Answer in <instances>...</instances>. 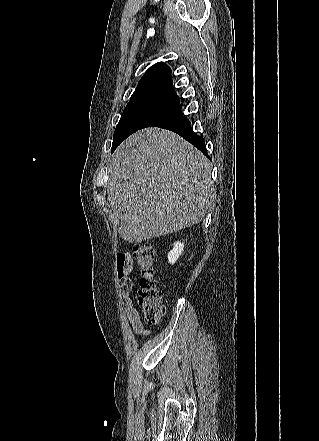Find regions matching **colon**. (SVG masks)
Masks as SVG:
<instances>
[{
    "mask_svg": "<svg viewBox=\"0 0 319 441\" xmlns=\"http://www.w3.org/2000/svg\"><path fill=\"white\" fill-rule=\"evenodd\" d=\"M133 258L140 268V277L137 283V298L145 322L157 325L162 319L166 305L163 294L155 281V252L149 243L136 244L132 251ZM120 285L124 283V270L118 265Z\"/></svg>",
    "mask_w": 319,
    "mask_h": 441,
    "instance_id": "colon-1",
    "label": "colon"
}]
</instances>
